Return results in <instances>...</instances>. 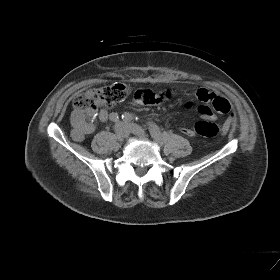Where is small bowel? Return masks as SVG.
I'll return each instance as SVG.
<instances>
[{"mask_svg":"<svg viewBox=\"0 0 280 280\" xmlns=\"http://www.w3.org/2000/svg\"><path fill=\"white\" fill-rule=\"evenodd\" d=\"M177 95L175 88H166L158 92L149 89H139L135 92L134 98L137 103L146 105H155L171 100ZM196 98L202 103L198 107V113L204 120H215L216 114H229L228 118L222 125L224 132H226L235 122V116L231 112V105L225 98L216 93L206 89L200 88L196 92ZM191 107V104H188ZM110 115L105 109H102L98 117L101 121H106ZM73 126L72 137L75 141H81L87 134L94 130V125L87 122L81 111L75 110L71 116ZM181 132L189 137L195 136L192 128H183Z\"/></svg>","mask_w":280,"mask_h":280,"instance_id":"1","label":"small bowel"}]
</instances>
